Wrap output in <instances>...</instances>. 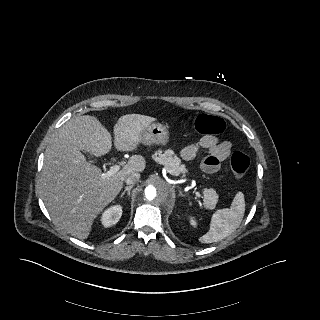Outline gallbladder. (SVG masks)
<instances>
[{
	"mask_svg": "<svg viewBox=\"0 0 320 320\" xmlns=\"http://www.w3.org/2000/svg\"><path fill=\"white\" fill-rule=\"evenodd\" d=\"M89 158L91 159V162H95V158L92 155H89Z\"/></svg>",
	"mask_w": 320,
	"mask_h": 320,
	"instance_id": "1",
	"label": "gallbladder"
}]
</instances>
